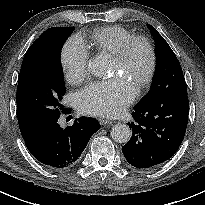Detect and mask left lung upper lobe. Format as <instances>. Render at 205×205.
<instances>
[{
    "instance_id": "obj_1",
    "label": "left lung upper lobe",
    "mask_w": 205,
    "mask_h": 205,
    "mask_svg": "<svg viewBox=\"0 0 205 205\" xmlns=\"http://www.w3.org/2000/svg\"><path fill=\"white\" fill-rule=\"evenodd\" d=\"M148 27L156 45V71L148 94L137 106L149 103L161 96L174 94L186 86L182 68L174 52L154 27L151 25Z\"/></svg>"
}]
</instances>
